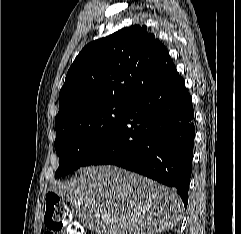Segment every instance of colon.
<instances>
[{"label":"colon","instance_id":"1","mask_svg":"<svg viewBox=\"0 0 241 234\" xmlns=\"http://www.w3.org/2000/svg\"><path fill=\"white\" fill-rule=\"evenodd\" d=\"M44 221L48 232L53 234L61 231H66L67 234H82L81 226L73 221L69 208L56 194L49 193L46 196Z\"/></svg>","mask_w":241,"mask_h":234}]
</instances>
